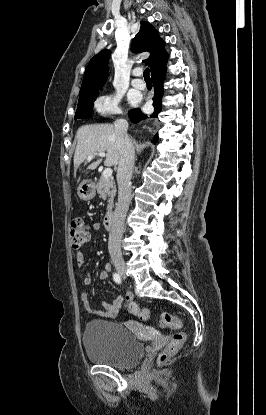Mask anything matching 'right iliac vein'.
<instances>
[{
  "mask_svg": "<svg viewBox=\"0 0 266 415\" xmlns=\"http://www.w3.org/2000/svg\"><path fill=\"white\" fill-rule=\"evenodd\" d=\"M114 266L116 268V270L118 271V273L125 277L126 274V265L124 263V261L120 258H116L113 260Z\"/></svg>",
  "mask_w": 266,
  "mask_h": 415,
  "instance_id": "1",
  "label": "right iliac vein"
}]
</instances>
